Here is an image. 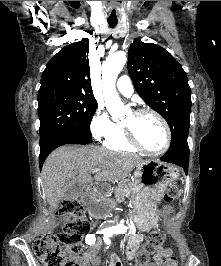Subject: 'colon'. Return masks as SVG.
<instances>
[{
	"label": "colon",
	"mask_w": 221,
	"mask_h": 266,
	"mask_svg": "<svg viewBox=\"0 0 221 266\" xmlns=\"http://www.w3.org/2000/svg\"><path fill=\"white\" fill-rule=\"evenodd\" d=\"M178 195V189L170 186L163 196L165 202H172ZM58 214L68 219L62 231L57 234H43L34 242V252L44 266H77L76 262L69 259L68 255L78 254L81 250V241L90 231V223L87 214L76 200L66 201ZM165 241L164 234L152 231L145 242L144 252L138 256V263L144 265L148 261V255L156 252ZM166 266H177L176 259L171 255Z\"/></svg>",
	"instance_id": "obj_1"
}]
</instances>
